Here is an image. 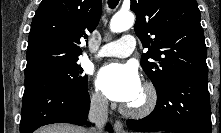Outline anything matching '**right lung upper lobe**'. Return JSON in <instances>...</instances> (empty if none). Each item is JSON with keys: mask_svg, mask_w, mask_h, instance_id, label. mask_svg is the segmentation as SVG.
Listing matches in <instances>:
<instances>
[{"mask_svg": "<svg viewBox=\"0 0 221 133\" xmlns=\"http://www.w3.org/2000/svg\"><path fill=\"white\" fill-rule=\"evenodd\" d=\"M101 0H42L31 24L25 76L51 65L75 63L80 39L101 17Z\"/></svg>", "mask_w": 221, "mask_h": 133, "instance_id": "right-lung-upper-lobe-1", "label": "right lung upper lobe"}]
</instances>
